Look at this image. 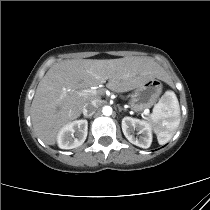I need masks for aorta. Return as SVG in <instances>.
<instances>
[{"instance_id": "aorta-1", "label": "aorta", "mask_w": 210, "mask_h": 210, "mask_svg": "<svg viewBox=\"0 0 210 210\" xmlns=\"http://www.w3.org/2000/svg\"><path fill=\"white\" fill-rule=\"evenodd\" d=\"M102 112L105 116H110L112 114V108L110 106H104Z\"/></svg>"}]
</instances>
